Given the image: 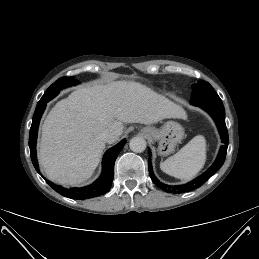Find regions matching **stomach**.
I'll list each match as a JSON object with an SVG mask.
<instances>
[{"label":"stomach","mask_w":259,"mask_h":259,"mask_svg":"<svg viewBox=\"0 0 259 259\" xmlns=\"http://www.w3.org/2000/svg\"><path fill=\"white\" fill-rule=\"evenodd\" d=\"M142 132L150 135L153 140L159 142L158 153L163 156L171 154L185 135L184 128L175 121L165 122L160 129L144 127Z\"/></svg>","instance_id":"1"}]
</instances>
